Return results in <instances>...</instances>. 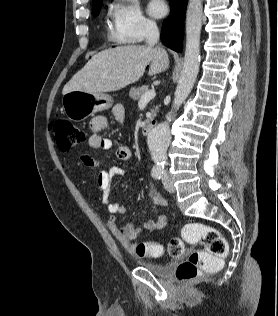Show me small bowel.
I'll return each instance as SVG.
<instances>
[{"mask_svg": "<svg viewBox=\"0 0 278 316\" xmlns=\"http://www.w3.org/2000/svg\"><path fill=\"white\" fill-rule=\"evenodd\" d=\"M115 120L122 124L125 118V109L121 103H116L112 109ZM91 134L88 139V145L95 150H109L113 143L109 138L102 135V132L109 129L108 119L103 115L95 116L90 121ZM115 156L121 161H128L132 157L131 149L125 145L117 146ZM82 163L91 168L97 169V184L102 192V202L106 206L110 216L107 219L106 225L119 244L129 253H137V239L144 232L160 231L165 228L167 217L165 213L156 215L145 222L127 223L123 226H118L116 214H124L126 206L111 199V183L114 177L123 176L125 170L120 166H111L108 169L102 168V162L93 155L83 153L80 156ZM149 204L156 210L158 207L166 210V201L159 196L155 191H149ZM138 254V253H137Z\"/></svg>", "mask_w": 278, "mask_h": 316, "instance_id": "obj_1", "label": "small bowel"}]
</instances>
